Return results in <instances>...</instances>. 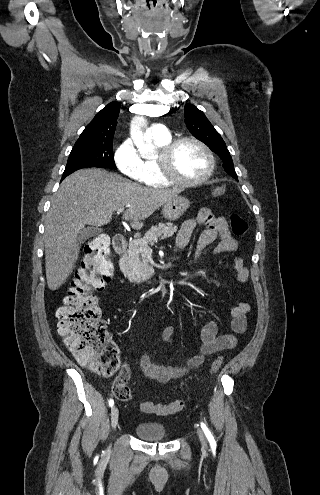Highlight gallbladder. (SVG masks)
Segmentation results:
<instances>
[{
    "mask_svg": "<svg viewBox=\"0 0 320 495\" xmlns=\"http://www.w3.org/2000/svg\"><path fill=\"white\" fill-rule=\"evenodd\" d=\"M100 233V230L97 227L89 226L86 228H83L79 231L77 235V242L78 243H83L87 239L96 236L97 234Z\"/></svg>",
    "mask_w": 320,
    "mask_h": 495,
    "instance_id": "gallbladder-1",
    "label": "gallbladder"
}]
</instances>
